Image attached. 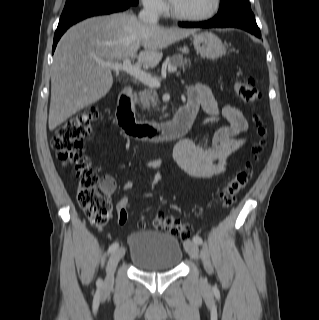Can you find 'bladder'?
<instances>
[{
    "label": "bladder",
    "instance_id": "31cf9c89",
    "mask_svg": "<svg viewBox=\"0 0 319 320\" xmlns=\"http://www.w3.org/2000/svg\"><path fill=\"white\" fill-rule=\"evenodd\" d=\"M129 260L138 270H173L183 259V246L173 234L141 230L128 236Z\"/></svg>",
    "mask_w": 319,
    "mask_h": 320
}]
</instances>
